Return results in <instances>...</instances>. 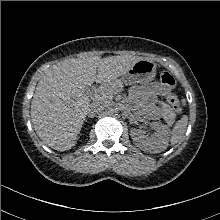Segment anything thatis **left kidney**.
I'll use <instances>...</instances> for the list:
<instances>
[{"label": "left kidney", "instance_id": "left-kidney-1", "mask_svg": "<svg viewBox=\"0 0 220 220\" xmlns=\"http://www.w3.org/2000/svg\"><path fill=\"white\" fill-rule=\"evenodd\" d=\"M151 127L155 129L152 137H147L139 133L137 129L131 130V137L135 144L144 151L151 153H159L164 151L169 141V128L160 122L151 123Z\"/></svg>", "mask_w": 220, "mask_h": 220}]
</instances>
